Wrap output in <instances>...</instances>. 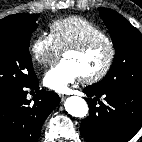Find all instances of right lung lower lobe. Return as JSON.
Instances as JSON below:
<instances>
[{
  "instance_id": "98d812e1",
  "label": "right lung lower lobe",
  "mask_w": 142,
  "mask_h": 142,
  "mask_svg": "<svg viewBox=\"0 0 142 142\" xmlns=\"http://www.w3.org/2000/svg\"><path fill=\"white\" fill-rule=\"evenodd\" d=\"M27 90L36 92L33 104L26 98ZM59 102L56 93L39 90L37 78L0 97V142H37L44 121Z\"/></svg>"
}]
</instances>
